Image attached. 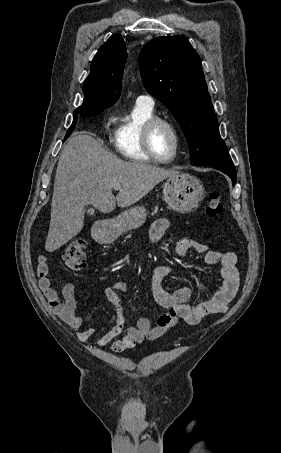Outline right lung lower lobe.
Instances as JSON below:
<instances>
[{
  "mask_svg": "<svg viewBox=\"0 0 281 453\" xmlns=\"http://www.w3.org/2000/svg\"><path fill=\"white\" fill-rule=\"evenodd\" d=\"M100 112L96 111V110H81V111H74V114H73V123L71 125V127L68 129L67 131V134H66V137L65 139L72 133V131L74 130V127L76 125V122H77V116L79 115H82V116H93L95 114H98Z\"/></svg>",
  "mask_w": 281,
  "mask_h": 453,
  "instance_id": "right-lung-lower-lobe-1",
  "label": "right lung lower lobe"
}]
</instances>
